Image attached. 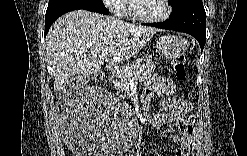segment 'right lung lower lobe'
<instances>
[{"instance_id":"obj_1","label":"right lung lower lobe","mask_w":247,"mask_h":156,"mask_svg":"<svg viewBox=\"0 0 247 156\" xmlns=\"http://www.w3.org/2000/svg\"><path fill=\"white\" fill-rule=\"evenodd\" d=\"M84 9L92 12H97L100 14H109V11L106 9V7L103 4H82V5H76V4H62L59 6H56L52 9H49L46 11L45 15V36L53 24V22L58 19L61 15L73 11V10H79Z\"/></svg>"}]
</instances>
